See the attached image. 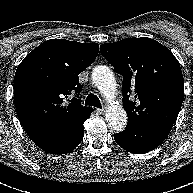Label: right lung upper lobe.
Returning <instances> with one entry per match:
<instances>
[{"label":"right lung upper lobe","instance_id":"1","mask_svg":"<svg viewBox=\"0 0 193 193\" xmlns=\"http://www.w3.org/2000/svg\"><path fill=\"white\" fill-rule=\"evenodd\" d=\"M98 51L97 43L51 39L25 57L15 73L14 100L28 135L60 128L93 111L74 96L82 89L78 75Z\"/></svg>","mask_w":193,"mask_h":193}]
</instances>
